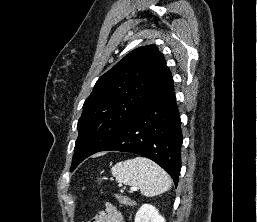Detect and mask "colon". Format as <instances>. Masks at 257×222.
<instances>
[{"instance_id": "obj_1", "label": "colon", "mask_w": 257, "mask_h": 222, "mask_svg": "<svg viewBox=\"0 0 257 222\" xmlns=\"http://www.w3.org/2000/svg\"><path fill=\"white\" fill-rule=\"evenodd\" d=\"M117 198L121 204L127 205L129 203V198L124 195L119 194L117 195Z\"/></svg>"}]
</instances>
